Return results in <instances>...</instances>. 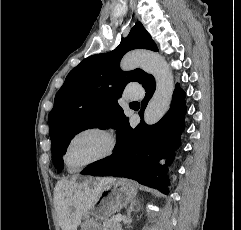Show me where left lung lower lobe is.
<instances>
[{"label":"left lung lower lobe","mask_w":241,"mask_h":230,"mask_svg":"<svg viewBox=\"0 0 241 230\" xmlns=\"http://www.w3.org/2000/svg\"><path fill=\"white\" fill-rule=\"evenodd\" d=\"M143 87L146 95L139 111L141 118L155 91L154 79L150 77ZM184 98L185 93L177 84L169 111L154 125H146L142 120L133 129L128 118L123 119L116 131L117 143L113 154L91 164L81 174L125 177L168 193L167 167L161 166L158 161L165 158L168 164L169 157L172 155L171 161L180 145L186 113Z\"/></svg>","instance_id":"obj_1"}]
</instances>
